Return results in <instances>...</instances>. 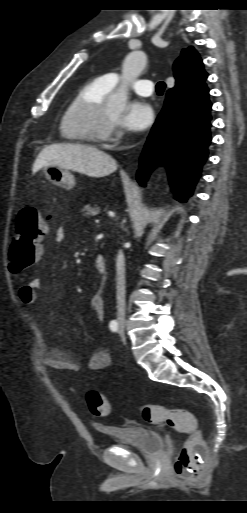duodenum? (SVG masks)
Here are the masks:
<instances>
[{"label": "duodenum", "mask_w": 247, "mask_h": 513, "mask_svg": "<svg viewBox=\"0 0 247 513\" xmlns=\"http://www.w3.org/2000/svg\"><path fill=\"white\" fill-rule=\"evenodd\" d=\"M94 266L97 270L98 277L101 281H103L107 276V262L103 254L96 256Z\"/></svg>", "instance_id": "duodenum-1"}]
</instances>
